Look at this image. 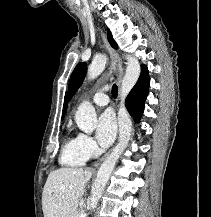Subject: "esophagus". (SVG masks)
Masks as SVG:
<instances>
[{
  "label": "esophagus",
  "mask_w": 211,
  "mask_h": 217,
  "mask_svg": "<svg viewBox=\"0 0 211 217\" xmlns=\"http://www.w3.org/2000/svg\"><path fill=\"white\" fill-rule=\"evenodd\" d=\"M102 39H103V42H104V44H105V46H106V48L110 54L112 66L114 67V69L117 73L118 83L120 84L122 81L123 73H124L121 59H120L117 51L114 48H112L111 45L109 44L108 39L104 33H102ZM109 153H110V151L107 152L104 156H102L99 160H97L93 164V167L98 168L100 166V164L105 160V158L109 155Z\"/></svg>",
  "instance_id": "esophagus-1"
}]
</instances>
